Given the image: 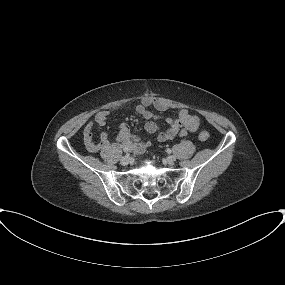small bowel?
Returning a JSON list of instances; mask_svg holds the SVG:
<instances>
[{
	"label": "small bowel",
	"mask_w": 285,
	"mask_h": 285,
	"mask_svg": "<svg viewBox=\"0 0 285 285\" xmlns=\"http://www.w3.org/2000/svg\"><path fill=\"white\" fill-rule=\"evenodd\" d=\"M150 107H153L157 111L164 112L167 111L170 106L162 100L153 99L151 97L142 98L136 106L137 113L147 120L145 130L150 134L158 133L157 140L159 142H166L176 137L186 136L188 133L195 132L199 127L200 121L197 116L189 113L186 109H179L176 117L165 119L168 124L167 130L160 131L158 120L161 119V116L150 111ZM110 114L108 110L99 111L93 121L87 123L84 127L83 137L85 147L88 151L97 152L112 145L108 133H101L98 141L94 139L93 134L95 125L104 127L108 122ZM116 141L118 146L132 150L136 154L143 153L151 145L150 141H144L133 135L130 126L126 123H122L118 127Z\"/></svg>",
	"instance_id": "small-bowel-1"
}]
</instances>
